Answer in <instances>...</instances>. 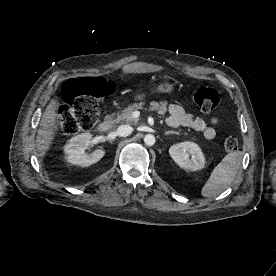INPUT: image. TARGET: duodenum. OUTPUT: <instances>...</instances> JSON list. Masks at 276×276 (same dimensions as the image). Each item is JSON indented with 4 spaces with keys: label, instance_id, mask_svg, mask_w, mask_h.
Here are the masks:
<instances>
[{
    "label": "duodenum",
    "instance_id": "1",
    "mask_svg": "<svg viewBox=\"0 0 276 276\" xmlns=\"http://www.w3.org/2000/svg\"><path fill=\"white\" fill-rule=\"evenodd\" d=\"M110 128L111 122L109 120H103L97 126V130L99 133H106L110 130Z\"/></svg>",
    "mask_w": 276,
    "mask_h": 276
}]
</instances>
